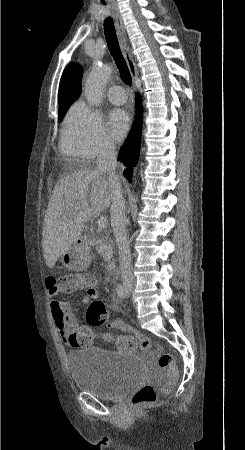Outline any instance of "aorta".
<instances>
[{"label": "aorta", "mask_w": 245, "mask_h": 450, "mask_svg": "<svg viewBox=\"0 0 245 450\" xmlns=\"http://www.w3.org/2000/svg\"><path fill=\"white\" fill-rule=\"evenodd\" d=\"M112 73V67L109 65H95L89 74L85 83V96L89 105L97 106L100 104L103 89Z\"/></svg>", "instance_id": "762f6f07"}]
</instances>
